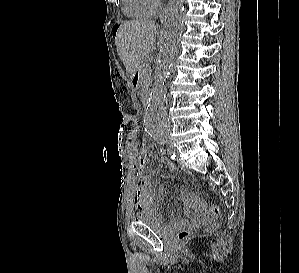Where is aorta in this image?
I'll return each mask as SVG.
<instances>
[{
    "mask_svg": "<svg viewBox=\"0 0 299 273\" xmlns=\"http://www.w3.org/2000/svg\"><path fill=\"white\" fill-rule=\"evenodd\" d=\"M183 6L177 2L171 12L161 42L154 85L144 115L145 131L155 139H164L168 133V117L164 107L165 82L178 52L179 38L183 29Z\"/></svg>",
    "mask_w": 299,
    "mask_h": 273,
    "instance_id": "obj_1",
    "label": "aorta"
}]
</instances>
